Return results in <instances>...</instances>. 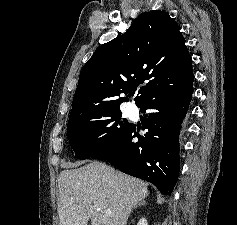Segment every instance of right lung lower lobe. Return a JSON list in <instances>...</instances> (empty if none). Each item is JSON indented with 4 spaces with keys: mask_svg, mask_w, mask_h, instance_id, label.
<instances>
[{
    "mask_svg": "<svg viewBox=\"0 0 237 225\" xmlns=\"http://www.w3.org/2000/svg\"><path fill=\"white\" fill-rule=\"evenodd\" d=\"M193 93V81L182 86L166 84L155 90L138 107L144 112L142 129L130 124L110 147L90 158L107 160L122 172L153 183L164 195H171L177 182L179 133ZM137 137L138 142H132Z\"/></svg>",
    "mask_w": 237,
    "mask_h": 225,
    "instance_id": "right-lung-lower-lobe-1",
    "label": "right lung lower lobe"
}]
</instances>
